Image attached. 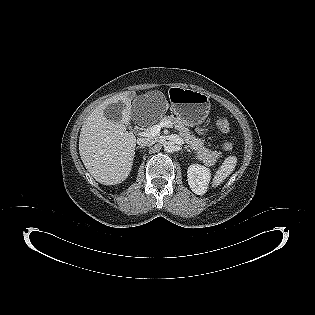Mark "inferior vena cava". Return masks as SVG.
<instances>
[{
    "instance_id": "602c4592",
    "label": "inferior vena cava",
    "mask_w": 315,
    "mask_h": 315,
    "mask_svg": "<svg viewBox=\"0 0 315 315\" xmlns=\"http://www.w3.org/2000/svg\"><path fill=\"white\" fill-rule=\"evenodd\" d=\"M151 142H152V139L151 138H139L138 140H137V144L139 145V146H141V147H143V146H148V145H150L151 144Z\"/></svg>"
}]
</instances>
